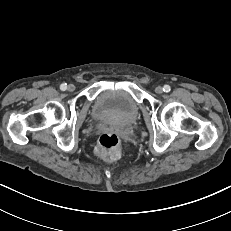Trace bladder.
<instances>
[{"label":"bladder","instance_id":"obj_1","mask_svg":"<svg viewBox=\"0 0 231 231\" xmlns=\"http://www.w3.org/2000/svg\"><path fill=\"white\" fill-rule=\"evenodd\" d=\"M92 117L119 125H130L139 115V107L124 89H106L94 101Z\"/></svg>","mask_w":231,"mask_h":231}]
</instances>
